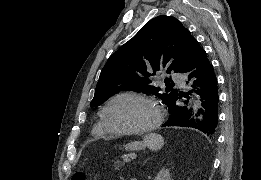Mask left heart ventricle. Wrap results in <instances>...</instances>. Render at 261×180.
I'll list each match as a JSON object with an SVG mask.
<instances>
[{"mask_svg": "<svg viewBox=\"0 0 261 180\" xmlns=\"http://www.w3.org/2000/svg\"><path fill=\"white\" fill-rule=\"evenodd\" d=\"M153 108L147 101L133 96L115 101L107 111L110 126L121 133L143 132L149 126Z\"/></svg>", "mask_w": 261, "mask_h": 180, "instance_id": "left-heart-ventricle-1", "label": "left heart ventricle"}]
</instances>
